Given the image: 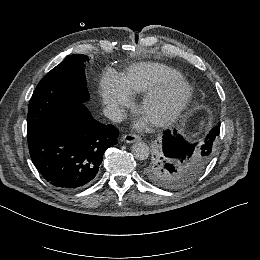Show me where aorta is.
I'll return each mask as SVG.
<instances>
[{"label": "aorta", "instance_id": "762f6f07", "mask_svg": "<svg viewBox=\"0 0 260 260\" xmlns=\"http://www.w3.org/2000/svg\"><path fill=\"white\" fill-rule=\"evenodd\" d=\"M131 152L138 160H145L149 156V146L145 142H136L132 145Z\"/></svg>", "mask_w": 260, "mask_h": 260}]
</instances>
